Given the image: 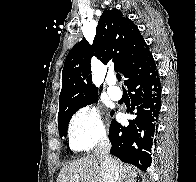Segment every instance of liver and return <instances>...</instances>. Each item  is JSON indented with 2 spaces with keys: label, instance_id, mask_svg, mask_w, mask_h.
I'll return each mask as SVG.
<instances>
[{
  "label": "liver",
  "instance_id": "6515ba94",
  "mask_svg": "<svg viewBox=\"0 0 196 182\" xmlns=\"http://www.w3.org/2000/svg\"><path fill=\"white\" fill-rule=\"evenodd\" d=\"M114 161L121 182H135L137 170L131 165L123 164L118 159ZM56 182H103L99 158L96 155H89L67 164L60 170Z\"/></svg>",
  "mask_w": 196,
  "mask_h": 182
}]
</instances>
